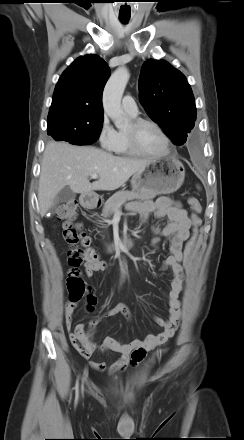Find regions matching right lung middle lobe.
Masks as SVG:
<instances>
[{
	"label": "right lung middle lobe",
	"instance_id": "1",
	"mask_svg": "<svg viewBox=\"0 0 244 440\" xmlns=\"http://www.w3.org/2000/svg\"><path fill=\"white\" fill-rule=\"evenodd\" d=\"M103 121L78 123L71 121H48V134L56 141H68L76 145H88L97 141Z\"/></svg>",
	"mask_w": 244,
	"mask_h": 440
}]
</instances>
